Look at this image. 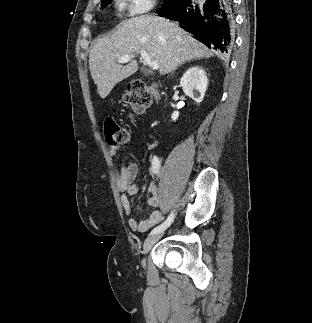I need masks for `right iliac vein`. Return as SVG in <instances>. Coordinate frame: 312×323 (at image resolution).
<instances>
[{
	"instance_id": "obj_1",
	"label": "right iliac vein",
	"mask_w": 312,
	"mask_h": 323,
	"mask_svg": "<svg viewBox=\"0 0 312 323\" xmlns=\"http://www.w3.org/2000/svg\"><path fill=\"white\" fill-rule=\"evenodd\" d=\"M162 234H151L150 236H148L144 242L143 245V253L146 254L155 244V242L157 240H159L161 238ZM143 265L145 266V262L143 261Z\"/></svg>"
}]
</instances>
